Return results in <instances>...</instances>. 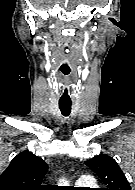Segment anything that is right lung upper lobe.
<instances>
[{
    "mask_svg": "<svg viewBox=\"0 0 135 190\" xmlns=\"http://www.w3.org/2000/svg\"><path fill=\"white\" fill-rule=\"evenodd\" d=\"M47 171L48 166L40 157L23 151L0 175V190H45L41 183Z\"/></svg>",
    "mask_w": 135,
    "mask_h": 190,
    "instance_id": "cb5924a9",
    "label": "right lung upper lobe"
}]
</instances>
